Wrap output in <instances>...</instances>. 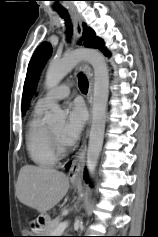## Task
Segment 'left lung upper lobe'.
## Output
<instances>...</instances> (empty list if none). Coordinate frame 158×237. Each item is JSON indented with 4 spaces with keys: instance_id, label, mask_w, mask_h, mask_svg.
<instances>
[{
    "instance_id": "1",
    "label": "left lung upper lobe",
    "mask_w": 158,
    "mask_h": 237,
    "mask_svg": "<svg viewBox=\"0 0 158 237\" xmlns=\"http://www.w3.org/2000/svg\"><path fill=\"white\" fill-rule=\"evenodd\" d=\"M84 32L83 39L84 46L89 48H98L105 55H108V51L103 47V41L97 38L94 31L83 24ZM51 47L49 43H42L35 51L27 70V75L24 83L23 97H22V113L25 114L27 106L32 97V93L35 89L38 74L44 60L50 55Z\"/></svg>"
}]
</instances>
